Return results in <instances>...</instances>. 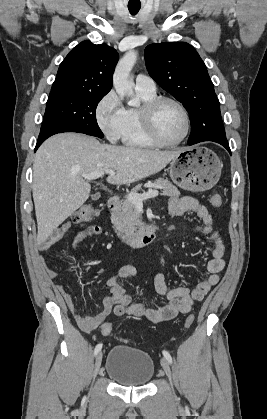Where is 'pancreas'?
Instances as JSON below:
<instances>
[{
  "instance_id": "1",
  "label": "pancreas",
  "mask_w": 267,
  "mask_h": 419,
  "mask_svg": "<svg viewBox=\"0 0 267 419\" xmlns=\"http://www.w3.org/2000/svg\"><path fill=\"white\" fill-rule=\"evenodd\" d=\"M148 184L160 186L163 189L162 195L169 197H178L180 192L168 179L158 178ZM141 190V184L137 185L130 193H137ZM112 224L121 231L126 238H132L136 235L137 229L142 226L141 216L137 211L135 204L125 199L121 205L112 213Z\"/></svg>"
}]
</instances>
